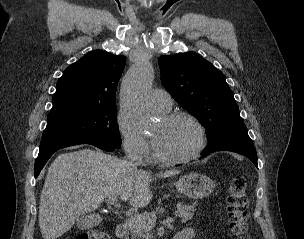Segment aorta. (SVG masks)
<instances>
[{
    "instance_id": "1",
    "label": "aorta",
    "mask_w": 304,
    "mask_h": 239,
    "mask_svg": "<svg viewBox=\"0 0 304 239\" xmlns=\"http://www.w3.org/2000/svg\"><path fill=\"white\" fill-rule=\"evenodd\" d=\"M152 82L153 68L148 59L139 60L122 82L121 102L141 126L151 121L147 94Z\"/></svg>"
}]
</instances>
